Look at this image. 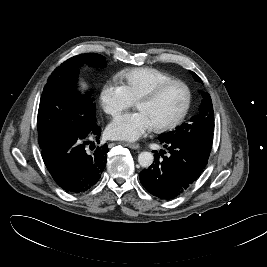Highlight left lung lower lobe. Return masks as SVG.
Listing matches in <instances>:
<instances>
[{"mask_svg": "<svg viewBox=\"0 0 267 267\" xmlns=\"http://www.w3.org/2000/svg\"><path fill=\"white\" fill-rule=\"evenodd\" d=\"M161 142L167 149V155H164V150L159 153L155 151L154 163L141 171L139 178L152 195L172 199L197 180L207 165L209 156L186 142Z\"/></svg>", "mask_w": 267, "mask_h": 267, "instance_id": "1", "label": "left lung lower lobe"}]
</instances>
